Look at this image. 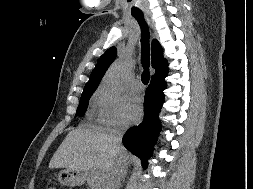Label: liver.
I'll return each instance as SVG.
<instances>
[{"mask_svg": "<svg viewBox=\"0 0 253 189\" xmlns=\"http://www.w3.org/2000/svg\"><path fill=\"white\" fill-rule=\"evenodd\" d=\"M132 156L123 146L115 148L112 136L87 128H78L68 133L54 153L49 168H66L89 171L93 168L101 173L103 180L114 164Z\"/></svg>", "mask_w": 253, "mask_h": 189, "instance_id": "6515ba94", "label": "liver"}]
</instances>
